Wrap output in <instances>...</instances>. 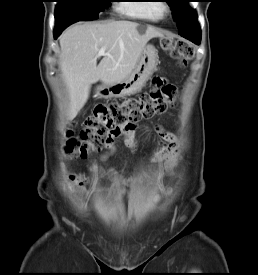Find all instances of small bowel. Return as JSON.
Wrapping results in <instances>:
<instances>
[{"label": "small bowel", "instance_id": "1", "mask_svg": "<svg viewBox=\"0 0 258 275\" xmlns=\"http://www.w3.org/2000/svg\"><path fill=\"white\" fill-rule=\"evenodd\" d=\"M156 130L162 137V139L166 142L165 147L163 150L160 152L159 156H157L155 159L160 160V159H165L167 158L168 155H173L177 151V138L173 133H170L166 130H164L162 127H157ZM134 130L131 131H125L122 132L121 134L124 135L125 137V144L127 147L131 148L132 150H136L138 146V142L135 139L134 136ZM105 149L106 152L103 154L102 158L106 159L108 156L112 155L116 151V146L113 142V139L108 140L105 143ZM174 167V164L172 161L168 160L167 165H166V173L169 174L172 172ZM97 171L106 174L108 177H110L114 181V187H113V193L115 195H123L125 194L126 191V186L128 184H135L138 183L142 180V178H125L119 174H117L114 169L109 168L106 171L101 170L100 168L96 167L95 168Z\"/></svg>", "mask_w": 258, "mask_h": 275}]
</instances>
